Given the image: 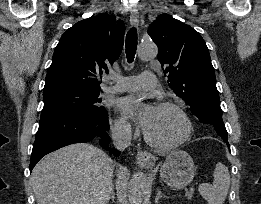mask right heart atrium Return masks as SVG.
Here are the masks:
<instances>
[{
	"label": "right heart atrium",
	"mask_w": 261,
	"mask_h": 204,
	"mask_svg": "<svg viewBox=\"0 0 261 204\" xmlns=\"http://www.w3.org/2000/svg\"><path fill=\"white\" fill-rule=\"evenodd\" d=\"M112 131L115 137L122 140H130L135 135V131L131 124L122 117H118L115 120L112 126Z\"/></svg>",
	"instance_id": "obj_1"
}]
</instances>
